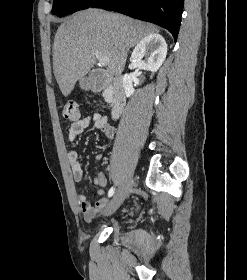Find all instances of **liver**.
I'll return each instance as SVG.
<instances>
[{"label":"liver","mask_w":247,"mask_h":280,"mask_svg":"<svg viewBox=\"0 0 247 280\" xmlns=\"http://www.w3.org/2000/svg\"><path fill=\"white\" fill-rule=\"evenodd\" d=\"M157 32L151 24L100 9H86L69 17L55 34L53 73L64 96L96 62L95 52L109 57L107 72L120 75L130 48Z\"/></svg>","instance_id":"1"}]
</instances>
